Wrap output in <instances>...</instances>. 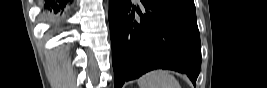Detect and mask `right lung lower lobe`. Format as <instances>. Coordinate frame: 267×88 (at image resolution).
Returning <instances> with one entry per match:
<instances>
[{"mask_svg":"<svg viewBox=\"0 0 267 88\" xmlns=\"http://www.w3.org/2000/svg\"><path fill=\"white\" fill-rule=\"evenodd\" d=\"M68 5L67 0H47L45 3V10H47L50 15L57 17L66 13Z\"/></svg>","mask_w":267,"mask_h":88,"instance_id":"98d812e1","label":"right lung lower lobe"}]
</instances>
